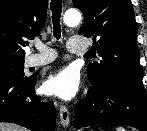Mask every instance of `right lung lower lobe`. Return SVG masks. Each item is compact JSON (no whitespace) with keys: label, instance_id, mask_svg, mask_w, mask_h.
<instances>
[{"label":"right lung lower lobe","instance_id":"obj_1","mask_svg":"<svg viewBox=\"0 0 147 131\" xmlns=\"http://www.w3.org/2000/svg\"><path fill=\"white\" fill-rule=\"evenodd\" d=\"M35 84V77L0 79V122L19 124L32 131L55 130V106L39 100Z\"/></svg>","mask_w":147,"mask_h":131}]
</instances>
